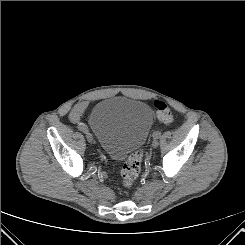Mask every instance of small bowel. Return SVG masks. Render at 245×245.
<instances>
[{
  "mask_svg": "<svg viewBox=\"0 0 245 245\" xmlns=\"http://www.w3.org/2000/svg\"><path fill=\"white\" fill-rule=\"evenodd\" d=\"M87 108V103L85 101L78 102L71 110L69 114V119L72 123L80 124V119L85 113Z\"/></svg>",
  "mask_w": 245,
  "mask_h": 245,
  "instance_id": "1",
  "label": "small bowel"
}]
</instances>
